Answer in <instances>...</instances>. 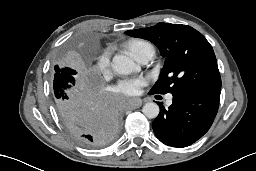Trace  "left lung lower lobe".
<instances>
[{"mask_svg": "<svg viewBox=\"0 0 256 171\" xmlns=\"http://www.w3.org/2000/svg\"><path fill=\"white\" fill-rule=\"evenodd\" d=\"M172 95V105L167 110L160 105V114L152 127L161 142L182 148L209 130L217 114L220 94L182 89Z\"/></svg>", "mask_w": 256, "mask_h": 171, "instance_id": "0a47b994", "label": "left lung lower lobe"}]
</instances>
